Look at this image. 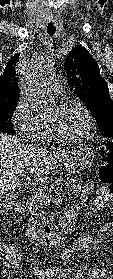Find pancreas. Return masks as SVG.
I'll use <instances>...</instances> for the list:
<instances>
[{"label": "pancreas", "instance_id": "cf45deb5", "mask_svg": "<svg viewBox=\"0 0 113 279\" xmlns=\"http://www.w3.org/2000/svg\"><path fill=\"white\" fill-rule=\"evenodd\" d=\"M67 183L71 186L73 193L77 194L81 190V184L78 178L69 175ZM50 197L45 189L38 190L31 196L28 201L29 208L32 212V223L36 227H44L51 222L47 220L42 213H44L45 206L49 205Z\"/></svg>", "mask_w": 113, "mask_h": 279}]
</instances>
